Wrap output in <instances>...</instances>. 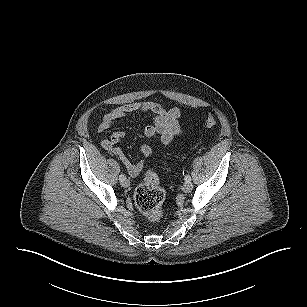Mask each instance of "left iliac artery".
<instances>
[{
	"mask_svg": "<svg viewBox=\"0 0 307 307\" xmlns=\"http://www.w3.org/2000/svg\"><path fill=\"white\" fill-rule=\"evenodd\" d=\"M189 180H191V177L189 175H186L185 176V181H189Z\"/></svg>",
	"mask_w": 307,
	"mask_h": 307,
	"instance_id": "left-iliac-artery-1",
	"label": "left iliac artery"
}]
</instances>
